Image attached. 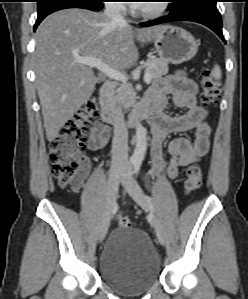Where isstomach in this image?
Here are the masks:
<instances>
[{
    "mask_svg": "<svg viewBox=\"0 0 248 299\" xmlns=\"http://www.w3.org/2000/svg\"><path fill=\"white\" fill-rule=\"evenodd\" d=\"M161 60L180 64L192 59L198 50L195 38L186 30L166 25L152 39Z\"/></svg>",
    "mask_w": 248,
    "mask_h": 299,
    "instance_id": "1",
    "label": "stomach"
}]
</instances>
